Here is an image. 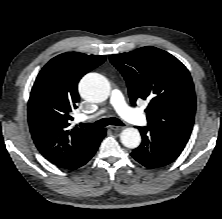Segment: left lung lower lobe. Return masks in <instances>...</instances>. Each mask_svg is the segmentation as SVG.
Segmentation results:
<instances>
[{
  "label": "left lung lower lobe",
  "mask_w": 222,
  "mask_h": 219,
  "mask_svg": "<svg viewBox=\"0 0 222 219\" xmlns=\"http://www.w3.org/2000/svg\"><path fill=\"white\" fill-rule=\"evenodd\" d=\"M142 136L141 145L131 153L132 157L147 168H158L173 162L187 142L168 133L147 127H137Z\"/></svg>",
  "instance_id": "1"
}]
</instances>
